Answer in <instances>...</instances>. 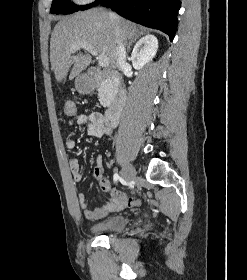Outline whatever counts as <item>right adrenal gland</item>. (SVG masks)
Segmentation results:
<instances>
[{
	"mask_svg": "<svg viewBox=\"0 0 247 280\" xmlns=\"http://www.w3.org/2000/svg\"><path fill=\"white\" fill-rule=\"evenodd\" d=\"M136 41V38L135 39H132L130 40L129 44H128V47H127V51L130 52L131 50V45Z\"/></svg>",
	"mask_w": 247,
	"mask_h": 280,
	"instance_id": "2a0ac1e0",
	"label": "right adrenal gland"
}]
</instances>
